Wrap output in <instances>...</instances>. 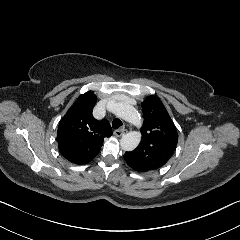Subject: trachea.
Masks as SVG:
<instances>
[{
  "mask_svg": "<svg viewBox=\"0 0 240 240\" xmlns=\"http://www.w3.org/2000/svg\"><path fill=\"white\" fill-rule=\"evenodd\" d=\"M122 125H123L122 121H121L120 119H118V118H115V119L113 120V122H112V127H113L114 129H118V128H120Z\"/></svg>",
  "mask_w": 240,
  "mask_h": 240,
  "instance_id": "trachea-1",
  "label": "trachea"
}]
</instances>
